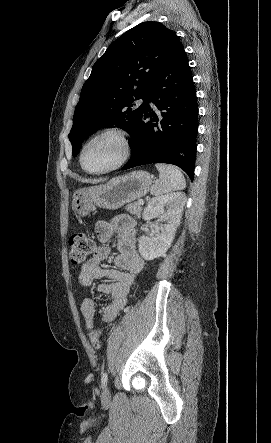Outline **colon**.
Masks as SVG:
<instances>
[{
    "label": "colon",
    "instance_id": "5ec220e1",
    "mask_svg": "<svg viewBox=\"0 0 271 443\" xmlns=\"http://www.w3.org/2000/svg\"><path fill=\"white\" fill-rule=\"evenodd\" d=\"M69 246V258L75 265L82 264L95 248L93 239L83 233L71 235L69 238ZM90 340L94 347H100V331L98 327H94L90 331Z\"/></svg>",
    "mask_w": 271,
    "mask_h": 443
}]
</instances>
